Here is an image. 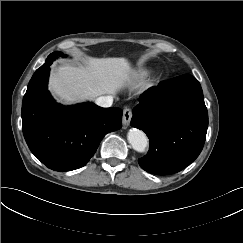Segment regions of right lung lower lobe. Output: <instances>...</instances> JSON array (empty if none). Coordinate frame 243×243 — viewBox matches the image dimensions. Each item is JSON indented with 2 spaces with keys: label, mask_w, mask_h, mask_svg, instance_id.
<instances>
[{
  "label": "right lung lower lobe",
  "mask_w": 243,
  "mask_h": 243,
  "mask_svg": "<svg viewBox=\"0 0 243 243\" xmlns=\"http://www.w3.org/2000/svg\"><path fill=\"white\" fill-rule=\"evenodd\" d=\"M51 60L32 76L22 103V129L31 152L48 168L83 167L109 132L122 127V110L93 103L62 106L47 89Z\"/></svg>",
  "instance_id": "1"
}]
</instances>
